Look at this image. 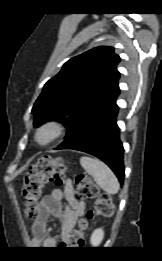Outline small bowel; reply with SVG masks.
Masks as SVG:
<instances>
[{"instance_id":"1","label":"small bowel","mask_w":162,"mask_h":261,"mask_svg":"<svg viewBox=\"0 0 162 261\" xmlns=\"http://www.w3.org/2000/svg\"><path fill=\"white\" fill-rule=\"evenodd\" d=\"M63 200L67 202V207L64 210L62 209ZM83 214L84 203L74 198L72 183L67 180L63 189H54L50 196L43 199L39 218L32 226L34 243L42 244L46 248L57 246V240L46 235V225L50 216H56L61 220V237L66 240Z\"/></svg>"}]
</instances>
